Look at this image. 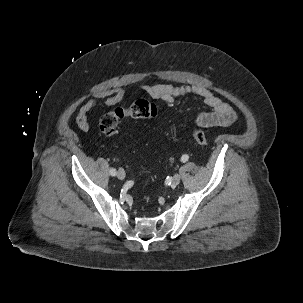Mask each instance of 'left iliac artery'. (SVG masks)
Instances as JSON below:
<instances>
[{
    "label": "left iliac artery",
    "mask_w": 303,
    "mask_h": 303,
    "mask_svg": "<svg viewBox=\"0 0 303 303\" xmlns=\"http://www.w3.org/2000/svg\"><path fill=\"white\" fill-rule=\"evenodd\" d=\"M188 159H189V156H188L187 154H184V155L181 157V161H182V162H186V161H188Z\"/></svg>",
    "instance_id": "left-iliac-artery-1"
}]
</instances>
